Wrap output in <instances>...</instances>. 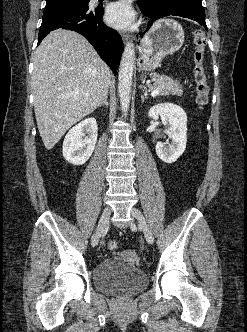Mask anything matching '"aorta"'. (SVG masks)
<instances>
[{"mask_svg": "<svg viewBox=\"0 0 247 332\" xmlns=\"http://www.w3.org/2000/svg\"><path fill=\"white\" fill-rule=\"evenodd\" d=\"M134 60V44L129 42L126 44L121 58L118 76V94L124 115L127 114L130 104Z\"/></svg>", "mask_w": 247, "mask_h": 332, "instance_id": "obj_1", "label": "aorta"}]
</instances>
